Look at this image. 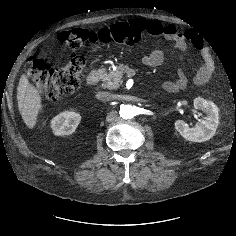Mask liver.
Returning <instances> with one entry per match:
<instances>
[{
	"label": "liver",
	"mask_w": 236,
	"mask_h": 236,
	"mask_svg": "<svg viewBox=\"0 0 236 236\" xmlns=\"http://www.w3.org/2000/svg\"><path fill=\"white\" fill-rule=\"evenodd\" d=\"M18 109L25 125L29 129L35 128L37 118L42 109V98L39 90L29 82L27 74L20 78L17 88Z\"/></svg>",
	"instance_id": "1"
}]
</instances>
